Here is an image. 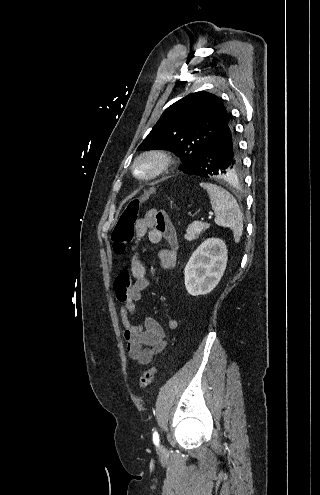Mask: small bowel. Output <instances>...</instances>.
Returning a JSON list of instances; mask_svg holds the SVG:
<instances>
[{
  "mask_svg": "<svg viewBox=\"0 0 320 495\" xmlns=\"http://www.w3.org/2000/svg\"><path fill=\"white\" fill-rule=\"evenodd\" d=\"M135 235V244L145 236L152 244H159L162 240L167 241L169 248L158 251L160 266L163 270H171L175 267L177 234L172 221L163 210L150 209L139 218L135 223ZM147 286L146 268L134 253L130 270H122L118 274L115 290L120 303V315L124 326L123 337L128 356L140 365L150 364L153 358L161 354L167 346L164 328L154 318L147 316L142 323L136 322V308L141 293ZM167 327L170 330L177 329L178 320L170 319Z\"/></svg>",
  "mask_w": 320,
  "mask_h": 495,
  "instance_id": "obj_1",
  "label": "small bowel"
}]
</instances>
